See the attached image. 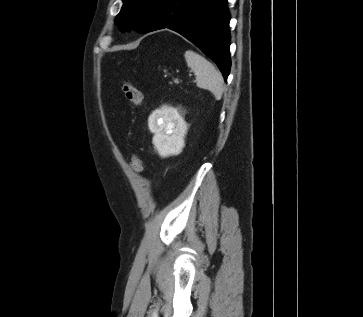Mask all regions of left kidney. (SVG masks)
Masks as SVG:
<instances>
[{
    "label": "left kidney",
    "mask_w": 363,
    "mask_h": 317,
    "mask_svg": "<svg viewBox=\"0 0 363 317\" xmlns=\"http://www.w3.org/2000/svg\"><path fill=\"white\" fill-rule=\"evenodd\" d=\"M148 121L149 128L154 133L153 144L161 156L182 152L187 125L176 109L163 106L154 111Z\"/></svg>",
    "instance_id": "1"
}]
</instances>
